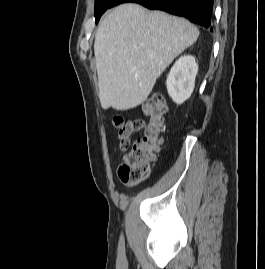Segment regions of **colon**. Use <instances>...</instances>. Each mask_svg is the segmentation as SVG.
Wrapping results in <instances>:
<instances>
[{"mask_svg": "<svg viewBox=\"0 0 265 269\" xmlns=\"http://www.w3.org/2000/svg\"><path fill=\"white\" fill-rule=\"evenodd\" d=\"M143 112L149 118V124L143 138L134 141L132 145V135L144 128V122L140 119L124 120L120 116H116L113 121L118 129L120 150H129L118 169V176L126 185L139 184L149 177L151 165L163 141L167 113L163 96H149L143 104Z\"/></svg>", "mask_w": 265, "mask_h": 269, "instance_id": "5ec220e1", "label": "colon"}]
</instances>
